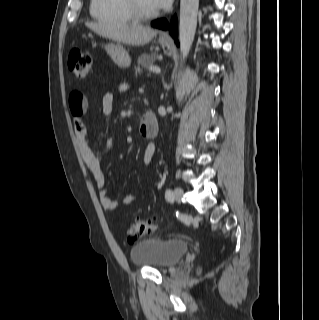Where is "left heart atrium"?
<instances>
[{
    "label": "left heart atrium",
    "instance_id": "39dd6f15",
    "mask_svg": "<svg viewBox=\"0 0 319 320\" xmlns=\"http://www.w3.org/2000/svg\"><path fill=\"white\" fill-rule=\"evenodd\" d=\"M149 1L155 9H165L172 2V0H149Z\"/></svg>",
    "mask_w": 319,
    "mask_h": 320
}]
</instances>
